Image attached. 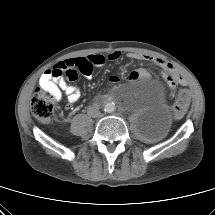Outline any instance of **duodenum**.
<instances>
[{
	"label": "duodenum",
	"instance_id": "obj_1",
	"mask_svg": "<svg viewBox=\"0 0 215 215\" xmlns=\"http://www.w3.org/2000/svg\"><path fill=\"white\" fill-rule=\"evenodd\" d=\"M102 101H104V102H105V101H107V99H103Z\"/></svg>",
	"mask_w": 215,
	"mask_h": 215
}]
</instances>
